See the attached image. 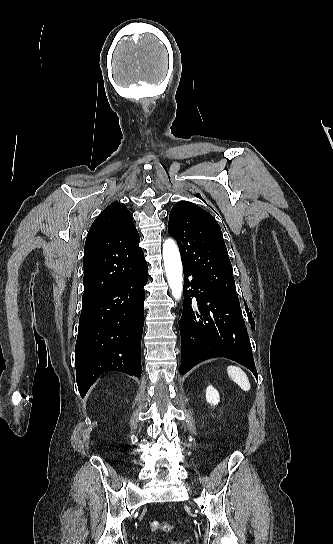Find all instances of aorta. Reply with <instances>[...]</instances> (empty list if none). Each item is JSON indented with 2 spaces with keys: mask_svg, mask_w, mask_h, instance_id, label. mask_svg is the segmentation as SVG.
<instances>
[{
  "mask_svg": "<svg viewBox=\"0 0 333 544\" xmlns=\"http://www.w3.org/2000/svg\"><path fill=\"white\" fill-rule=\"evenodd\" d=\"M163 260L172 295L179 300L183 290L182 264L178 247L172 239L163 244Z\"/></svg>",
  "mask_w": 333,
  "mask_h": 544,
  "instance_id": "762f6f07",
  "label": "aorta"
}]
</instances>
